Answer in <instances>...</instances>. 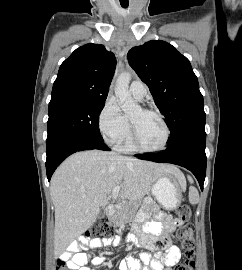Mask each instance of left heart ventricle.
Returning a JSON list of instances; mask_svg holds the SVG:
<instances>
[{"mask_svg":"<svg viewBox=\"0 0 242 270\" xmlns=\"http://www.w3.org/2000/svg\"><path fill=\"white\" fill-rule=\"evenodd\" d=\"M130 119L137 127L139 141L143 146L155 148L162 144L165 132L157 116L143 113L138 109L130 116Z\"/></svg>","mask_w":242,"mask_h":270,"instance_id":"left-heart-ventricle-1","label":"left heart ventricle"}]
</instances>
